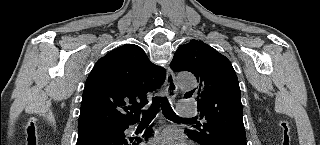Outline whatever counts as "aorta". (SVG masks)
Listing matches in <instances>:
<instances>
[{"label": "aorta", "mask_w": 320, "mask_h": 145, "mask_svg": "<svg viewBox=\"0 0 320 145\" xmlns=\"http://www.w3.org/2000/svg\"><path fill=\"white\" fill-rule=\"evenodd\" d=\"M178 84L182 89H192L196 86V79L192 74L180 73L177 77Z\"/></svg>", "instance_id": "1"}]
</instances>
